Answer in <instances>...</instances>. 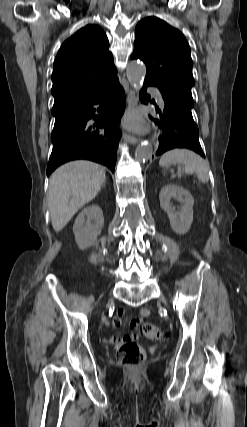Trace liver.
Returning a JSON list of instances; mask_svg holds the SVG:
<instances>
[{
	"mask_svg": "<svg viewBox=\"0 0 247 427\" xmlns=\"http://www.w3.org/2000/svg\"><path fill=\"white\" fill-rule=\"evenodd\" d=\"M105 179L104 167L86 160L66 163L53 172L49 181L48 206L56 232L97 196Z\"/></svg>",
	"mask_w": 247,
	"mask_h": 427,
	"instance_id": "1",
	"label": "liver"
}]
</instances>
